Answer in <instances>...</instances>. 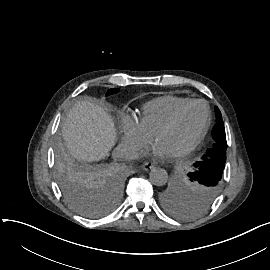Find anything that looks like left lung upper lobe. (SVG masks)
Returning <instances> with one entry per match:
<instances>
[{"mask_svg": "<svg viewBox=\"0 0 270 270\" xmlns=\"http://www.w3.org/2000/svg\"><path fill=\"white\" fill-rule=\"evenodd\" d=\"M215 113L217 124L212 133L215 141L213 147L194 164V172L189 173L180 186L162 196V204L174 215L194 216L204 211L219 193L226 162L227 142L218 107H215Z\"/></svg>", "mask_w": 270, "mask_h": 270, "instance_id": "obj_1", "label": "left lung upper lobe"}]
</instances>
